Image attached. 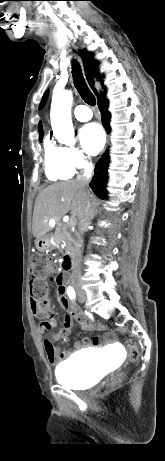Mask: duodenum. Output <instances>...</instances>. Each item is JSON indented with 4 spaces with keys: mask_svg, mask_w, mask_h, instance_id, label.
Returning a JSON list of instances; mask_svg holds the SVG:
<instances>
[{
    "mask_svg": "<svg viewBox=\"0 0 165 461\" xmlns=\"http://www.w3.org/2000/svg\"><path fill=\"white\" fill-rule=\"evenodd\" d=\"M76 253H71L64 257V269L70 271L74 267Z\"/></svg>",
    "mask_w": 165,
    "mask_h": 461,
    "instance_id": "1",
    "label": "duodenum"
}]
</instances>
